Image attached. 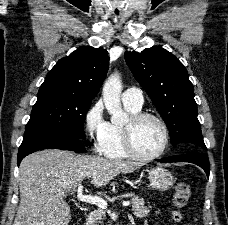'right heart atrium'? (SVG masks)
I'll return each mask as SVG.
<instances>
[{
	"label": "right heart atrium",
	"mask_w": 228,
	"mask_h": 225,
	"mask_svg": "<svg viewBox=\"0 0 228 225\" xmlns=\"http://www.w3.org/2000/svg\"><path fill=\"white\" fill-rule=\"evenodd\" d=\"M83 123L87 136L98 149L100 142L107 136L111 124L106 118L101 100L96 101L86 110Z\"/></svg>",
	"instance_id": "right-heart-atrium-1"
}]
</instances>
